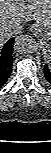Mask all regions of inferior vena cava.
I'll use <instances>...</instances> for the list:
<instances>
[{
  "label": "inferior vena cava",
  "mask_w": 51,
  "mask_h": 153,
  "mask_svg": "<svg viewBox=\"0 0 51 153\" xmlns=\"http://www.w3.org/2000/svg\"><path fill=\"white\" fill-rule=\"evenodd\" d=\"M23 29L22 24L16 25L12 30H6L4 32H0V42H5L8 38H11L14 35L20 34Z\"/></svg>",
  "instance_id": "1"
}]
</instances>
